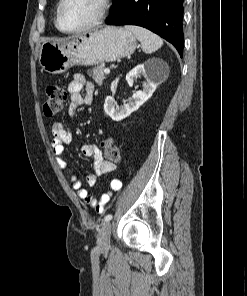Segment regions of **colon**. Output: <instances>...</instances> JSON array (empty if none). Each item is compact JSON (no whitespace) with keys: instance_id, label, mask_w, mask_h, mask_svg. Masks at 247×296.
Segmentation results:
<instances>
[{"instance_id":"obj_1","label":"colon","mask_w":247,"mask_h":296,"mask_svg":"<svg viewBox=\"0 0 247 296\" xmlns=\"http://www.w3.org/2000/svg\"><path fill=\"white\" fill-rule=\"evenodd\" d=\"M67 99L66 91L57 84L49 85L45 92V102L43 105L44 114L47 117H53L61 112ZM104 151V157L108 162L119 163L121 152L119 147L111 138L104 139L101 142Z\"/></svg>"}]
</instances>
